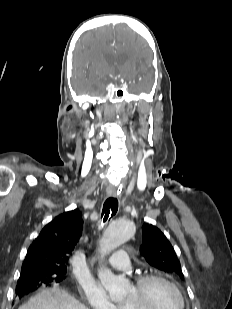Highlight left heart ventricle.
Instances as JSON below:
<instances>
[{"mask_svg":"<svg viewBox=\"0 0 232 309\" xmlns=\"http://www.w3.org/2000/svg\"><path fill=\"white\" fill-rule=\"evenodd\" d=\"M137 292L132 286L129 290L125 302L134 301ZM147 309H180V298L177 293L164 282L152 281L145 290Z\"/></svg>","mask_w":232,"mask_h":309,"instance_id":"left-heart-ventricle-1","label":"left heart ventricle"}]
</instances>
